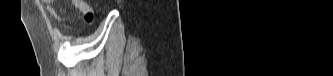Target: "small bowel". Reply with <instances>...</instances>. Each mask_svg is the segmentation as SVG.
<instances>
[{
  "mask_svg": "<svg viewBox=\"0 0 333 76\" xmlns=\"http://www.w3.org/2000/svg\"><path fill=\"white\" fill-rule=\"evenodd\" d=\"M51 0H46V11L52 15L58 18L60 21L64 23H68L71 21V18L68 16L60 15L57 10L53 7ZM72 5L78 9L82 15L84 16V20L86 23H91L93 21V11L91 7L88 5L87 2L84 0H72L71 1Z\"/></svg>",
  "mask_w": 333,
  "mask_h": 76,
  "instance_id": "obj_1",
  "label": "small bowel"
}]
</instances>
